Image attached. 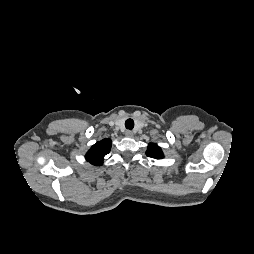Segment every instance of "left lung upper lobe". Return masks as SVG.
<instances>
[{
	"label": "left lung upper lobe",
	"mask_w": 254,
	"mask_h": 254,
	"mask_svg": "<svg viewBox=\"0 0 254 254\" xmlns=\"http://www.w3.org/2000/svg\"><path fill=\"white\" fill-rule=\"evenodd\" d=\"M146 155L155 159H161L164 157L161 148L157 144H149Z\"/></svg>",
	"instance_id": "obj_1"
}]
</instances>
